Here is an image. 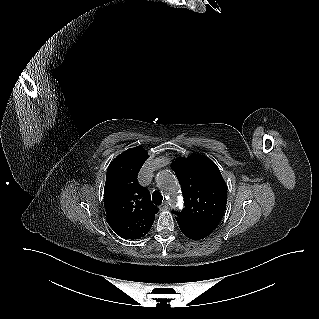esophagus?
<instances>
[{"label": "esophagus", "mask_w": 319, "mask_h": 319, "mask_svg": "<svg viewBox=\"0 0 319 319\" xmlns=\"http://www.w3.org/2000/svg\"><path fill=\"white\" fill-rule=\"evenodd\" d=\"M160 211H165L168 209V202L164 201L160 206H159Z\"/></svg>", "instance_id": "34e87169"}]
</instances>
